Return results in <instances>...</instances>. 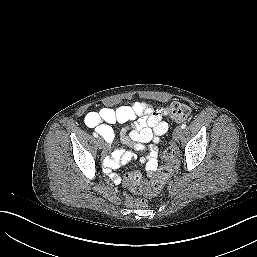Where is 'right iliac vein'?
Here are the masks:
<instances>
[{"instance_id":"1","label":"right iliac vein","mask_w":257,"mask_h":257,"mask_svg":"<svg viewBox=\"0 0 257 257\" xmlns=\"http://www.w3.org/2000/svg\"><path fill=\"white\" fill-rule=\"evenodd\" d=\"M97 143H98V146H99L100 149H103L105 147V143H104L103 138L98 137L97 138Z\"/></svg>"}]
</instances>
